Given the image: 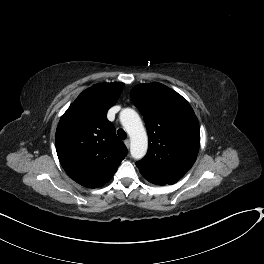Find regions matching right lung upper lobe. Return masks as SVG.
<instances>
[{
	"label": "right lung upper lobe",
	"mask_w": 264,
	"mask_h": 264,
	"mask_svg": "<svg viewBox=\"0 0 264 264\" xmlns=\"http://www.w3.org/2000/svg\"><path fill=\"white\" fill-rule=\"evenodd\" d=\"M124 84H96L83 91L61 117L56 151L65 172L77 183L98 188L108 182L127 154L107 111Z\"/></svg>",
	"instance_id": "right-lung-upper-lobe-1"
}]
</instances>
